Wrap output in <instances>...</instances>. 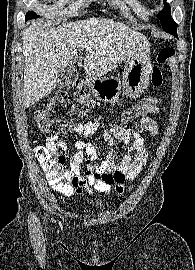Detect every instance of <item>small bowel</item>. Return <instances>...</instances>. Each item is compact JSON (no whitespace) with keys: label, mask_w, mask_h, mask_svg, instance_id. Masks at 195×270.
<instances>
[{"label":"small bowel","mask_w":195,"mask_h":270,"mask_svg":"<svg viewBox=\"0 0 195 270\" xmlns=\"http://www.w3.org/2000/svg\"><path fill=\"white\" fill-rule=\"evenodd\" d=\"M158 112V107H155L149 113ZM138 123L152 136L157 135L158 125L151 117L145 114L139 118ZM99 125L98 120H88L84 124L73 122L77 140L67 160V171L72 180V187L65 193L68 197L81 194L84 189L90 194L95 190L108 196L112 192V186L121 194L124 191V182L136 178L147 162L150 150L145 139L135 127L121 124H112L103 131L102 140L107 145L108 152L102 162H96L97 150L89 139L97 132ZM130 142L132 144L129 153L121 162H116L113 158L116 146ZM46 145L67 152V147L59 136L48 138ZM83 162L84 170L81 168Z\"/></svg>","instance_id":"obj_1"}]
</instances>
